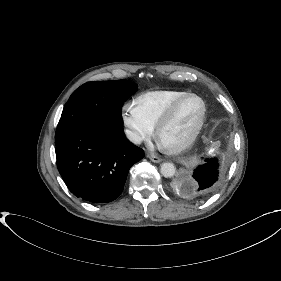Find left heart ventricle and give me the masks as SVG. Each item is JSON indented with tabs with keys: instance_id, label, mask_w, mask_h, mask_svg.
<instances>
[{
	"instance_id": "left-heart-ventricle-1",
	"label": "left heart ventricle",
	"mask_w": 281,
	"mask_h": 281,
	"mask_svg": "<svg viewBox=\"0 0 281 281\" xmlns=\"http://www.w3.org/2000/svg\"><path fill=\"white\" fill-rule=\"evenodd\" d=\"M202 106L199 100L190 98L177 110L169 124L160 134V142L166 146L175 145L187 138L197 125Z\"/></svg>"
}]
</instances>
